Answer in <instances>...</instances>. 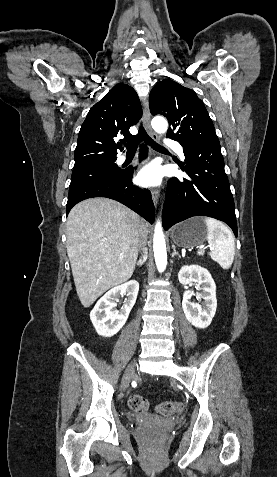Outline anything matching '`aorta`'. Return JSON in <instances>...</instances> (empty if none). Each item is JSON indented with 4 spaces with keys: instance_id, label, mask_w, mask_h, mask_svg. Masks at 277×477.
I'll return each mask as SVG.
<instances>
[{
    "instance_id": "obj_1",
    "label": "aorta",
    "mask_w": 277,
    "mask_h": 477,
    "mask_svg": "<svg viewBox=\"0 0 277 477\" xmlns=\"http://www.w3.org/2000/svg\"><path fill=\"white\" fill-rule=\"evenodd\" d=\"M153 129L160 134H163L168 129V123L163 117H155L152 122ZM153 250L155 262L158 270L160 272L164 271L167 265V252H166V243L163 234V228L161 221H157L154 238H153Z\"/></svg>"
}]
</instances>
